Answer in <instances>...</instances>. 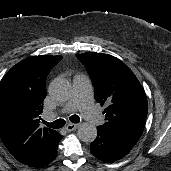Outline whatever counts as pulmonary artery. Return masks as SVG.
Listing matches in <instances>:
<instances>
[{"mask_svg":"<svg viewBox=\"0 0 171 171\" xmlns=\"http://www.w3.org/2000/svg\"><path fill=\"white\" fill-rule=\"evenodd\" d=\"M74 110H79L93 126H99L103 123L102 116L93 104L91 82L85 75L78 74L73 77V96L60 110V113L65 114ZM54 116V114H48L45 119L51 121Z\"/></svg>","mask_w":171,"mask_h":171,"instance_id":"obj_1","label":"pulmonary artery"}]
</instances>
